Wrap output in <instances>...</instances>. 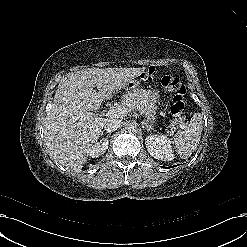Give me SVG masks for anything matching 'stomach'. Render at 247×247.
<instances>
[{
    "label": "stomach",
    "mask_w": 247,
    "mask_h": 247,
    "mask_svg": "<svg viewBox=\"0 0 247 247\" xmlns=\"http://www.w3.org/2000/svg\"><path fill=\"white\" fill-rule=\"evenodd\" d=\"M139 85L138 80H130L124 86L128 92L126 93L125 97H131L138 94V92L147 100L151 102H156L160 98L159 90L158 89H151V90H138L137 87Z\"/></svg>",
    "instance_id": "stomach-1"
}]
</instances>
